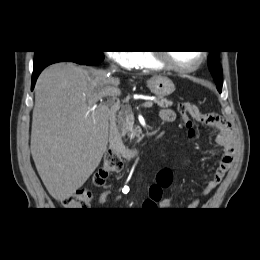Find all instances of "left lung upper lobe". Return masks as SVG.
Masks as SVG:
<instances>
[{"label": "left lung upper lobe", "mask_w": 260, "mask_h": 260, "mask_svg": "<svg viewBox=\"0 0 260 260\" xmlns=\"http://www.w3.org/2000/svg\"><path fill=\"white\" fill-rule=\"evenodd\" d=\"M208 66L218 90H222L223 76L219 62V51H209Z\"/></svg>", "instance_id": "1"}]
</instances>
